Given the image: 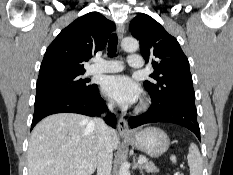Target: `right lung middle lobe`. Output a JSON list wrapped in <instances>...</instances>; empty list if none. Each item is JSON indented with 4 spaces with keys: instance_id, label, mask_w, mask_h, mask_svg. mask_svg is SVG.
I'll list each match as a JSON object with an SVG mask.
<instances>
[{
    "instance_id": "right-lung-middle-lobe-1",
    "label": "right lung middle lobe",
    "mask_w": 233,
    "mask_h": 175,
    "mask_svg": "<svg viewBox=\"0 0 233 175\" xmlns=\"http://www.w3.org/2000/svg\"><path fill=\"white\" fill-rule=\"evenodd\" d=\"M83 72L56 74L38 78L36 98L47 94L71 93L80 94L91 91L94 85H87V81L81 78Z\"/></svg>"
}]
</instances>
